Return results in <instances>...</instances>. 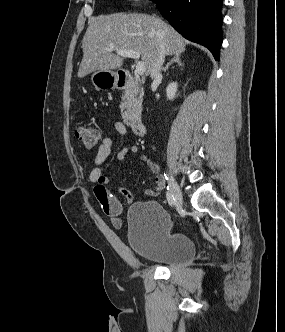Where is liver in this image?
<instances>
[{
    "label": "liver",
    "mask_w": 285,
    "mask_h": 332,
    "mask_svg": "<svg viewBox=\"0 0 285 332\" xmlns=\"http://www.w3.org/2000/svg\"><path fill=\"white\" fill-rule=\"evenodd\" d=\"M161 43L165 55H176L185 51L187 41L171 25L151 15L116 13L93 18L82 40L83 58L78 77L120 68L123 57L106 50L111 47L140 53L149 75Z\"/></svg>",
    "instance_id": "1"
}]
</instances>
